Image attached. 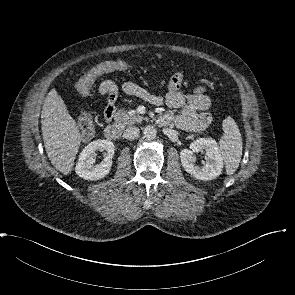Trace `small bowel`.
<instances>
[{"label":"small bowel","mask_w":295,"mask_h":295,"mask_svg":"<svg viewBox=\"0 0 295 295\" xmlns=\"http://www.w3.org/2000/svg\"><path fill=\"white\" fill-rule=\"evenodd\" d=\"M117 86L113 81L107 80L100 86V91L108 99L105 115L108 120L114 115V103L117 97ZM124 93L140 97L153 104L163 102L170 108L178 112H167L164 116L166 122H173L179 128L190 131H201L209 122L207 110L210 100L203 89H196L191 93L180 90V85L169 84L168 92L165 97L148 92L141 85L134 82H126L122 86Z\"/></svg>","instance_id":"obj_1"}]
</instances>
